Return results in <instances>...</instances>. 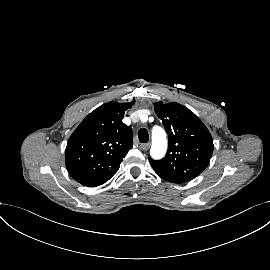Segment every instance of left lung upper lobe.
Here are the masks:
<instances>
[{"label":"left lung upper lobe","instance_id":"1","mask_svg":"<svg viewBox=\"0 0 270 270\" xmlns=\"http://www.w3.org/2000/svg\"><path fill=\"white\" fill-rule=\"evenodd\" d=\"M155 112L168 133L169 145L161 160L150 159L158 174L190 181L208 166L214 149L213 139L201 120L178 103H154Z\"/></svg>","mask_w":270,"mask_h":270}]
</instances>
